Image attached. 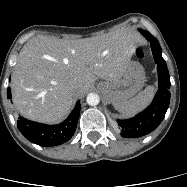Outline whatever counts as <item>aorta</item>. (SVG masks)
Returning a JSON list of instances; mask_svg holds the SVG:
<instances>
[{
  "mask_svg": "<svg viewBox=\"0 0 187 187\" xmlns=\"http://www.w3.org/2000/svg\"><path fill=\"white\" fill-rule=\"evenodd\" d=\"M86 101L87 103L90 105V106H96L99 104L100 102V97L98 94L96 93H89L87 95V98H86Z\"/></svg>",
  "mask_w": 187,
  "mask_h": 187,
  "instance_id": "aorta-1",
  "label": "aorta"
}]
</instances>
